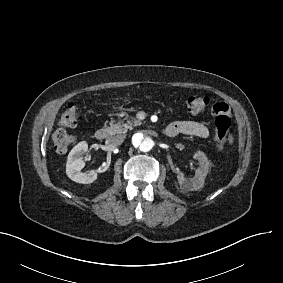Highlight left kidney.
I'll return each mask as SVG.
<instances>
[{"instance_id":"1","label":"left kidney","mask_w":283,"mask_h":283,"mask_svg":"<svg viewBox=\"0 0 283 283\" xmlns=\"http://www.w3.org/2000/svg\"><path fill=\"white\" fill-rule=\"evenodd\" d=\"M193 157L199 161V168L196 169L195 176L193 178H186L181 172L177 174L180 189L184 193L202 188L209 171L210 162L204 152L197 151Z\"/></svg>"}]
</instances>
